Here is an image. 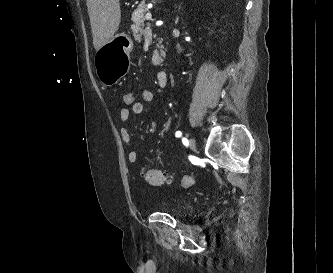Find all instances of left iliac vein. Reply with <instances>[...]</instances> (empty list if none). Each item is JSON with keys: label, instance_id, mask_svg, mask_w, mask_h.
I'll return each mask as SVG.
<instances>
[{"label": "left iliac vein", "instance_id": "obj_1", "mask_svg": "<svg viewBox=\"0 0 333 273\" xmlns=\"http://www.w3.org/2000/svg\"><path fill=\"white\" fill-rule=\"evenodd\" d=\"M189 146H190V148L192 150H195V148H196V142H195V140L193 138L189 139Z\"/></svg>", "mask_w": 333, "mask_h": 273}]
</instances>
